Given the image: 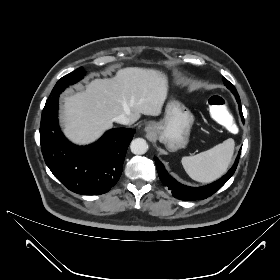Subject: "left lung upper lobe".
Returning <instances> with one entry per match:
<instances>
[{
    "instance_id": "obj_1",
    "label": "left lung upper lobe",
    "mask_w": 280,
    "mask_h": 280,
    "mask_svg": "<svg viewBox=\"0 0 280 280\" xmlns=\"http://www.w3.org/2000/svg\"><path fill=\"white\" fill-rule=\"evenodd\" d=\"M223 82H224L225 86H226L229 90H231V92H232L235 96H239L238 93H237V91H236V89H235V87H234L227 79L223 78Z\"/></svg>"
}]
</instances>
